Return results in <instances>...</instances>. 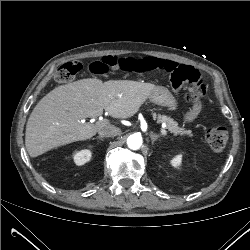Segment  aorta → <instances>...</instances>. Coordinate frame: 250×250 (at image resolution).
Listing matches in <instances>:
<instances>
[{
  "label": "aorta",
  "instance_id": "aorta-1",
  "mask_svg": "<svg viewBox=\"0 0 250 250\" xmlns=\"http://www.w3.org/2000/svg\"><path fill=\"white\" fill-rule=\"evenodd\" d=\"M127 145L132 150H137L142 146V137L139 134H132L127 138Z\"/></svg>",
  "mask_w": 250,
  "mask_h": 250
}]
</instances>
